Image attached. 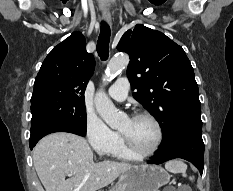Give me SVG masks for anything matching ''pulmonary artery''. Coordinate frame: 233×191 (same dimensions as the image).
Masks as SVG:
<instances>
[{"instance_id":"e3ab8cb5","label":"pulmonary artery","mask_w":233,"mask_h":191,"mask_svg":"<svg viewBox=\"0 0 233 191\" xmlns=\"http://www.w3.org/2000/svg\"><path fill=\"white\" fill-rule=\"evenodd\" d=\"M129 81L126 77L119 78L108 90V96L115 101L123 102L128 95Z\"/></svg>"}]
</instances>
